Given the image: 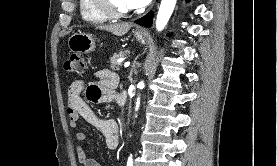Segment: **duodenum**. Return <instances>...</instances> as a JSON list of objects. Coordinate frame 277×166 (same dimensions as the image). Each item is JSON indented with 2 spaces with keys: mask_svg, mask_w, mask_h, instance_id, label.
Wrapping results in <instances>:
<instances>
[{
  "mask_svg": "<svg viewBox=\"0 0 277 166\" xmlns=\"http://www.w3.org/2000/svg\"><path fill=\"white\" fill-rule=\"evenodd\" d=\"M119 105L120 106H123L124 105V102H125V97L123 96V95H121L120 97H119Z\"/></svg>",
  "mask_w": 277,
  "mask_h": 166,
  "instance_id": "obj_1",
  "label": "duodenum"
}]
</instances>
